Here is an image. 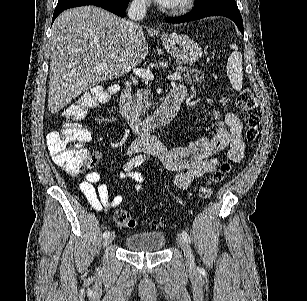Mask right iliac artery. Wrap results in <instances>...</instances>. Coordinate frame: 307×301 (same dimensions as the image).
Here are the masks:
<instances>
[{"label": "right iliac artery", "instance_id": "right-iliac-artery-1", "mask_svg": "<svg viewBox=\"0 0 307 301\" xmlns=\"http://www.w3.org/2000/svg\"><path fill=\"white\" fill-rule=\"evenodd\" d=\"M145 157L140 155V156H136L135 158L131 159L129 162H127V164L125 165V169H131L139 164H141L144 161ZM110 234L109 231H105L103 233V237L106 238L108 235Z\"/></svg>", "mask_w": 307, "mask_h": 301}]
</instances>
